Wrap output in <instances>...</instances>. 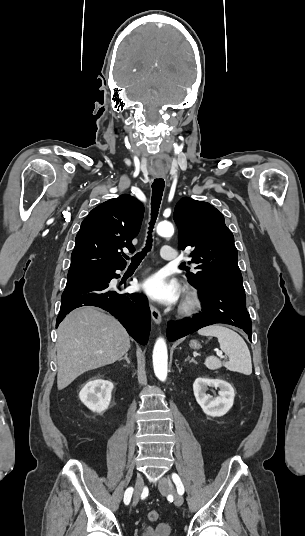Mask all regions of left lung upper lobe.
<instances>
[{
    "instance_id": "left-lung-upper-lobe-1",
    "label": "left lung upper lobe",
    "mask_w": 305,
    "mask_h": 536,
    "mask_svg": "<svg viewBox=\"0 0 305 536\" xmlns=\"http://www.w3.org/2000/svg\"><path fill=\"white\" fill-rule=\"evenodd\" d=\"M173 218L178 226V248L192 247L191 263L198 264L195 272L186 270L190 284L199 289L243 288L234 237L224 216L207 202L184 197L177 203Z\"/></svg>"
}]
</instances>
